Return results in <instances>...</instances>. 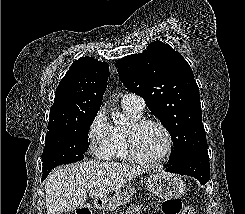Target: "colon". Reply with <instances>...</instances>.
Returning <instances> with one entry per match:
<instances>
[{"label":"colon","instance_id":"colon-1","mask_svg":"<svg viewBox=\"0 0 245 214\" xmlns=\"http://www.w3.org/2000/svg\"><path fill=\"white\" fill-rule=\"evenodd\" d=\"M162 211L164 214H195L192 207H182L178 199H169L163 202ZM89 214V213H86Z\"/></svg>","mask_w":245,"mask_h":214}]
</instances>
